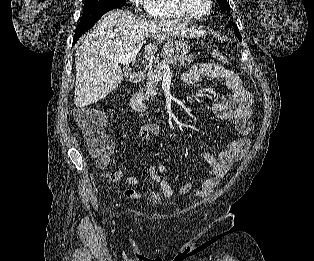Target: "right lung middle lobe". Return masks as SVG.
<instances>
[{
  "label": "right lung middle lobe",
  "instance_id": "right-lung-middle-lobe-1",
  "mask_svg": "<svg viewBox=\"0 0 314 261\" xmlns=\"http://www.w3.org/2000/svg\"><path fill=\"white\" fill-rule=\"evenodd\" d=\"M125 3V0H85L80 23L91 21L109 10L123 6Z\"/></svg>",
  "mask_w": 314,
  "mask_h": 261
}]
</instances>
